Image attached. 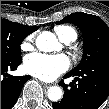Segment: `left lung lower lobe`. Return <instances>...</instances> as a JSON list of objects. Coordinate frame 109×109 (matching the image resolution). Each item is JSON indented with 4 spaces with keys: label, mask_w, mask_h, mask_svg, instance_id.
<instances>
[{
    "label": "left lung lower lobe",
    "mask_w": 109,
    "mask_h": 109,
    "mask_svg": "<svg viewBox=\"0 0 109 109\" xmlns=\"http://www.w3.org/2000/svg\"><path fill=\"white\" fill-rule=\"evenodd\" d=\"M71 76L75 78L71 88L60 82L65 92L60 102L52 103L54 109H98L109 96V60L92 63L64 78ZM75 91L78 94L74 95Z\"/></svg>",
    "instance_id": "left-lung-lower-lobe-1"
}]
</instances>
